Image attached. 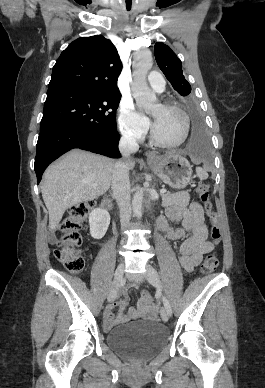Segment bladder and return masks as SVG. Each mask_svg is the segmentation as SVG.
Listing matches in <instances>:
<instances>
[{
    "label": "bladder",
    "mask_w": 265,
    "mask_h": 388,
    "mask_svg": "<svg viewBox=\"0 0 265 388\" xmlns=\"http://www.w3.org/2000/svg\"><path fill=\"white\" fill-rule=\"evenodd\" d=\"M165 326L156 321L134 322L113 329L107 334L106 341L110 348L116 349L133 360L148 358L157 349H162L167 342Z\"/></svg>",
    "instance_id": "bladder-1"
}]
</instances>
